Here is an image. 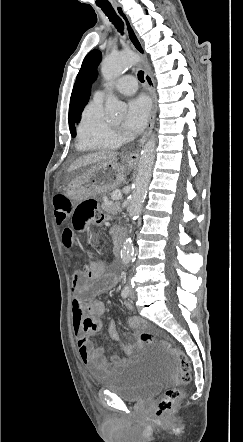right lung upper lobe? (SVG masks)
I'll use <instances>...</instances> for the list:
<instances>
[{"instance_id":"1","label":"right lung upper lobe","mask_w":243,"mask_h":442,"mask_svg":"<svg viewBox=\"0 0 243 442\" xmlns=\"http://www.w3.org/2000/svg\"><path fill=\"white\" fill-rule=\"evenodd\" d=\"M76 94H77V85H74L73 91H72V95H71V100H70V106H69V126L70 128L73 127L74 125V103L76 100Z\"/></svg>"}]
</instances>
